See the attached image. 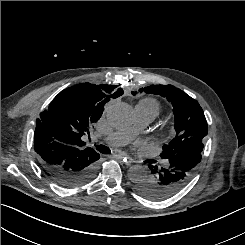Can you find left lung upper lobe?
I'll list each match as a JSON object with an SVG mask.
<instances>
[{"label":"left lung upper lobe","mask_w":245,"mask_h":245,"mask_svg":"<svg viewBox=\"0 0 245 245\" xmlns=\"http://www.w3.org/2000/svg\"><path fill=\"white\" fill-rule=\"evenodd\" d=\"M147 94L161 95L173 105L176 137L163 146L160 157L164 160L184 151H203V138L208 126L199 103L173 85H150L140 89ZM135 95L134 92H132Z\"/></svg>","instance_id":"5c2ea615"}]
</instances>
